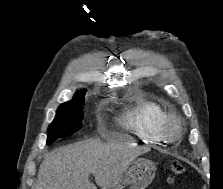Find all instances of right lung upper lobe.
Returning a JSON list of instances; mask_svg holds the SVG:
<instances>
[{
  "label": "right lung upper lobe",
  "instance_id": "1",
  "mask_svg": "<svg viewBox=\"0 0 223 189\" xmlns=\"http://www.w3.org/2000/svg\"><path fill=\"white\" fill-rule=\"evenodd\" d=\"M86 92V90H81V91H79L77 94H75V95H79V94H83V93H85Z\"/></svg>",
  "mask_w": 223,
  "mask_h": 189
}]
</instances>
